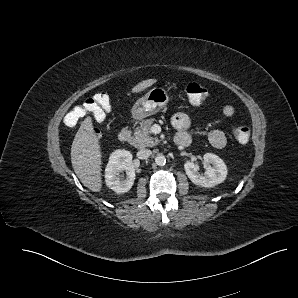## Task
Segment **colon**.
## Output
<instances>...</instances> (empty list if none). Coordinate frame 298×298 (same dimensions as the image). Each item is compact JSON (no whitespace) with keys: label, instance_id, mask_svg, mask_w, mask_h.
I'll return each instance as SVG.
<instances>
[{"label":"colon","instance_id":"obj_1","mask_svg":"<svg viewBox=\"0 0 298 298\" xmlns=\"http://www.w3.org/2000/svg\"><path fill=\"white\" fill-rule=\"evenodd\" d=\"M186 94L189 102L194 105L207 103L211 96L210 91L206 87L197 83L188 84ZM110 107L108 95L101 92L76 105L66 114L65 121L70 126L76 125L87 116H92L97 121H102L106 118ZM232 134L239 143L246 144L250 139V128L245 124H239L232 129Z\"/></svg>","mask_w":298,"mask_h":298}]
</instances>
